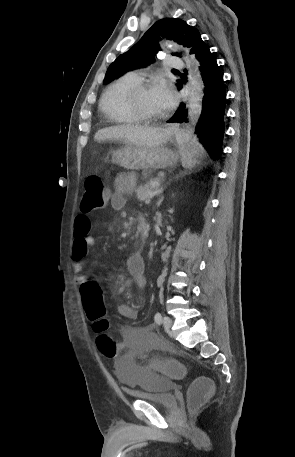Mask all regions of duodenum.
I'll list each match as a JSON object with an SVG mask.
<instances>
[{"mask_svg": "<svg viewBox=\"0 0 295 457\" xmlns=\"http://www.w3.org/2000/svg\"><path fill=\"white\" fill-rule=\"evenodd\" d=\"M138 224H139V229H140L142 238L146 239L149 235V226H148L146 220L143 217H140L138 220Z\"/></svg>", "mask_w": 295, "mask_h": 457, "instance_id": "410a0bca", "label": "duodenum"}]
</instances>
